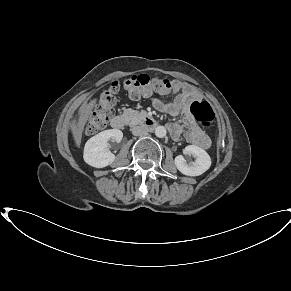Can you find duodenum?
<instances>
[{
    "label": "duodenum",
    "mask_w": 291,
    "mask_h": 291,
    "mask_svg": "<svg viewBox=\"0 0 291 291\" xmlns=\"http://www.w3.org/2000/svg\"><path fill=\"white\" fill-rule=\"evenodd\" d=\"M126 124V118L123 115H116L111 120V125L115 129H122ZM140 124L146 128L154 129L157 126L156 121L150 116H143Z\"/></svg>",
    "instance_id": "1"
}]
</instances>
